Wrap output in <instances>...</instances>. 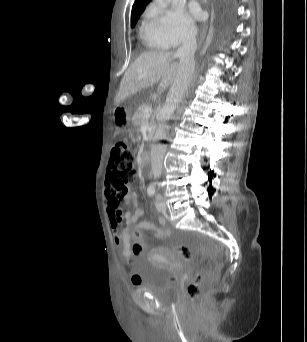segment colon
Here are the masks:
<instances>
[{
    "label": "colon",
    "mask_w": 307,
    "mask_h": 342,
    "mask_svg": "<svg viewBox=\"0 0 307 342\" xmlns=\"http://www.w3.org/2000/svg\"><path fill=\"white\" fill-rule=\"evenodd\" d=\"M136 177V165L134 155L129 145L125 141L117 142L111 150L110 164L107 169L106 178L107 185L105 193L109 200H104L110 203L109 207L117 211L121 208L126 195L130 191L131 184ZM132 241L130 248L133 256H140L144 246L141 242L140 230H133ZM177 253L184 261H189L192 257V251L188 246H177ZM193 281H187L188 294H185L186 307H201L200 295H203L205 281L202 280V269H193ZM142 279L139 275L131 277V283L134 286L140 285Z\"/></svg>",
    "instance_id": "colon-1"
}]
</instances>
